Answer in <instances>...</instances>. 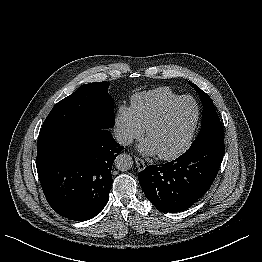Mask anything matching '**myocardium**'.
I'll return each mask as SVG.
<instances>
[{
	"instance_id": "myocardium-1",
	"label": "myocardium",
	"mask_w": 262,
	"mask_h": 262,
	"mask_svg": "<svg viewBox=\"0 0 262 262\" xmlns=\"http://www.w3.org/2000/svg\"><path fill=\"white\" fill-rule=\"evenodd\" d=\"M185 100H190L195 104L196 107V115L193 121V124L191 126V129L186 137V140L184 141V143L175 151L168 153V154H161L158 153L159 158L163 159V160H174L176 158H178L179 156H181L183 153H185L188 148L190 147V145L192 144L196 129L198 127V123H199V119H200V114H201V109L200 106L198 104V102L196 101L195 98H193L192 96H181L178 99L174 100L173 102H171L170 104H168L158 115L157 117L148 125V127L146 128V135L147 137H149L150 133L157 128L158 126H160L167 118V116L170 114V112L176 107L178 106L181 102L185 101Z\"/></svg>"
}]
</instances>
